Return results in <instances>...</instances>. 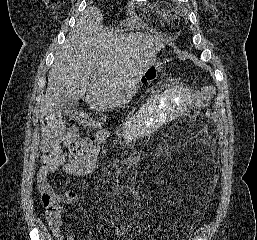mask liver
I'll use <instances>...</instances> for the list:
<instances>
[{
	"label": "liver",
	"instance_id": "obj_1",
	"mask_svg": "<svg viewBox=\"0 0 257 240\" xmlns=\"http://www.w3.org/2000/svg\"><path fill=\"white\" fill-rule=\"evenodd\" d=\"M102 21L97 7H87L56 51L42 115L52 113L64 91L74 100L85 98L97 111L122 107L134 96L141 76L154 64L164 43L149 34L118 35L104 28Z\"/></svg>",
	"mask_w": 257,
	"mask_h": 240
}]
</instances>
